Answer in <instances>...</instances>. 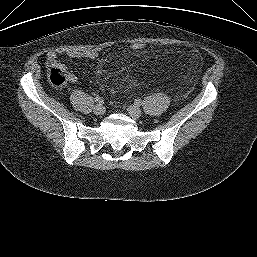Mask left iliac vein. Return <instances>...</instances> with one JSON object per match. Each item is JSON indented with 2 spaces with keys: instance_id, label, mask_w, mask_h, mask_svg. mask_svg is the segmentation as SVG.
I'll list each match as a JSON object with an SVG mask.
<instances>
[{
  "instance_id": "left-iliac-vein-1",
  "label": "left iliac vein",
  "mask_w": 257,
  "mask_h": 257,
  "mask_svg": "<svg viewBox=\"0 0 257 257\" xmlns=\"http://www.w3.org/2000/svg\"><path fill=\"white\" fill-rule=\"evenodd\" d=\"M127 111L129 115L135 120L139 119L142 114L141 109L135 105L128 106Z\"/></svg>"
}]
</instances>
